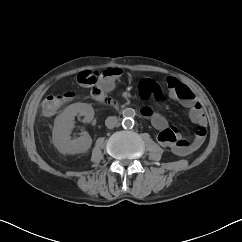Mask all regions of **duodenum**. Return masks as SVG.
Returning <instances> with one entry per match:
<instances>
[{"label": "duodenum", "mask_w": 242, "mask_h": 242, "mask_svg": "<svg viewBox=\"0 0 242 242\" xmlns=\"http://www.w3.org/2000/svg\"><path fill=\"white\" fill-rule=\"evenodd\" d=\"M96 99H98L103 105H106V106H109V107H112V108H118L119 107V104L113 99L106 98V97H98Z\"/></svg>", "instance_id": "1"}]
</instances>
